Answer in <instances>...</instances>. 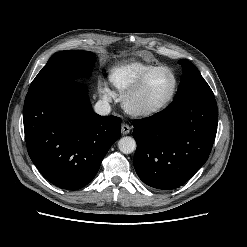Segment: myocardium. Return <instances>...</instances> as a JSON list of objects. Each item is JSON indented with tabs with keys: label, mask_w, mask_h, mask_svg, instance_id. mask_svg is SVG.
<instances>
[{
	"label": "myocardium",
	"mask_w": 247,
	"mask_h": 247,
	"mask_svg": "<svg viewBox=\"0 0 247 247\" xmlns=\"http://www.w3.org/2000/svg\"><path fill=\"white\" fill-rule=\"evenodd\" d=\"M159 70H165L171 74L173 78V88L171 90V93L163 102L157 105L154 106L138 105L136 103V97L140 92L144 82L152 73ZM177 91H178V78L175 72L168 66H164V65L153 66L147 69L146 71H144L132 84V86L125 92L122 99L123 107L129 114L134 116H141V117L152 116L167 108L175 98Z\"/></svg>",
	"instance_id": "f54148a6"
}]
</instances>
